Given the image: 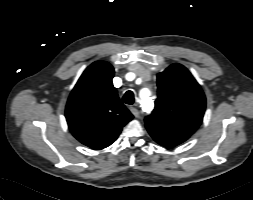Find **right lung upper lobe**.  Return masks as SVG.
Segmentation results:
<instances>
[{
  "mask_svg": "<svg viewBox=\"0 0 253 200\" xmlns=\"http://www.w3.org/2000/svg\"><path fill=\"white\" fill-rule=\"evenodd\" d=\"M113 67L96 61L81 75L66 106V119L73 136L93 149L111 145L133 115L120 102L113 86Z\"/></svg>",
  "mask_w": 253,
  "mask_h": 200,
  "instance_id": "cb5924a9",
  "label": "right lung upper lobe"
}]
</instances>
